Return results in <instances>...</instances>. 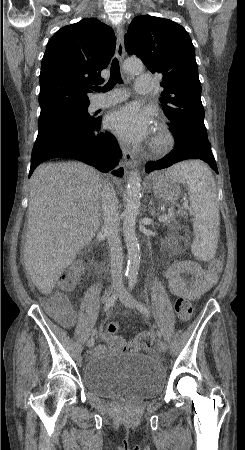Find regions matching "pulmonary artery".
I'll list each match as a JSON object with an SVG mask.
<instances>
[{"mask_svg":"<svg viewBox=\"0 0 245 450\" xmlns=\"http://www.w3.org/2000/svg\"><path fill=\"white\" fill-rule=\"evenodd\" d=\"M156 79L150 74H141L136 78V92L140 95H147L153 92ZM124 100L122 91L109 92L98 96L94 104L97 108L108 107Z\"/></svg>","mask_w":245,"mask_h":450,"instance_id":"e3ab8cb5","label":"pulmonary artery"}]
</instances>
